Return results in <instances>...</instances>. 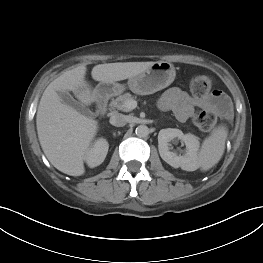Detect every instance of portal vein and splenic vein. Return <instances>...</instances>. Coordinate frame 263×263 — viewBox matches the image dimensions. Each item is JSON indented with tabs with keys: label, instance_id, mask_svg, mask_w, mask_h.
Instances as JSON below:
<instances>
[{
	"label": "portal vein and splenic vein",
	"instance_id": "18ae733b",
	"mask_svg": "<svg viewBox=\"0 0 263 263\" xmlns=\"http://www.w3.org/2000/svg\"><path fill=\"white\" fill-rule=\"evenodd\" d=\"M124 107L127 108L128 110H133L137 107V101L128 100L127 102H125Z\"/></svg>",
	"mask_w": 263,
	"mask_h": 263
}]
</instances>
